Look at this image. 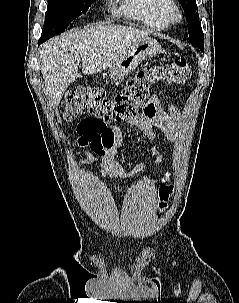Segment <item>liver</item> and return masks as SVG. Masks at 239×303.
Returning a JSON list of instances; mask_svg holds the SVG:
<instances>
[{"label": "liver", "mask_w": 239, "mask_h": 303, "mask_svg": "<svg viewBox=\"0 0 239 303\" xmlns=\"http://www.w3.org/2000/svg\"><path fill=\"white\" fill-rule=\"evenodd\" d=\"M148 32L121 25H91L72 29L46 42L39 54L45 91L54 107L73 81L79 77L78 66L90 75L107 69L135 42Z\"/></svg>", "instance_id": "6515ba94"}]
</instances>
